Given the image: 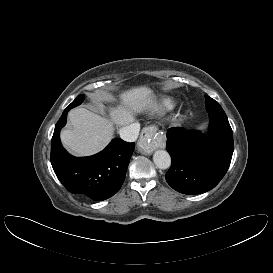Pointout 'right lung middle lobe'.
I'll list each match as a JSON object with an SVG mask.
<instances>
[{
	"label": "right lung middle lobe",
	"instance_id": "dd1d6c3e",
	"mask_svg": "<svg viewBox=\"0 0 273 273\" xmlns=\"http://www.w3.org/2000/svg\"><path fill=\"white\" fill-rule=\"evenodd\" d=\"M84 95H79L66 109L70 110L82 103Z\"/></svg>",
	"mask_w": 273,
	"mask_h": 273
}]
</instances>
